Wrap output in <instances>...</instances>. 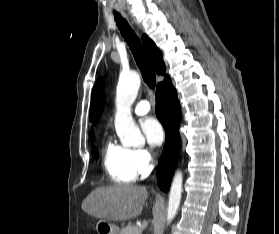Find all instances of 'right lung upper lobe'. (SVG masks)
I'll use <instances>...</instances> for the list:
<instances>
[{"label": "right lung upper lobe", "mask_w": 279, "mask_h": 234, "mask_svg": "<svg viewBox=\"0 0 279 234\" xmlns=\"http://www.w3.org/2000/svg\"><path fill=\"white\" fill-rule=\"evenodd\" d=\"M142 41L157 74L164 75V80L169 78L167 75H165V64L162 59L161 51L156 47L155 43L146 35L142 36ZM90 137L92 140H94V135L92 133H90Z\"/></svg>", "instance_id": "cb5924a9"}]
</instances>
